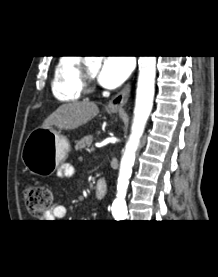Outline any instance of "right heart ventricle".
Returning <instances> with one entry per match:
<instances>
[{
    "label": "right heart ventricle",
    "mask_w": 218,
    "mask_h": 277,
    "mask_svg": "<svg viewBox=\"0 0 218 277\" xmlns=\"http://www.w3.org/2000/svg\"><path fill=\"white\" fill-rule=\"evenodd\" d=\"M82 62L76 56L61 57L56 63L51 83L54 97L63 102L78 101L84 91L80 78Z\"/></svg>",
    "instance_id": "e07e8e85"
}]
</instances>
